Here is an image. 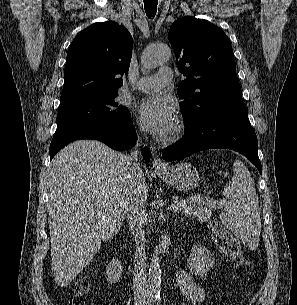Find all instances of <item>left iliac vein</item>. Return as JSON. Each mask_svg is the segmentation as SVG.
Segmentation results:
<instances>
[{
	"mask_svg": "<svg viewBox=\"0 0 297 305\" xmlns=\"http://www.w3.org/2000/svg\"><path fill=\"white\" fill-rule=\"evenodd\" d=\"M148 305H154V304L149 303Z\"/></svg>",
	"mask_w": 297,
	"mask_h": 305,
	"instance_id": "left-iliac-vein-1",
	"label": "left iliac vein"
}]
</instances>
